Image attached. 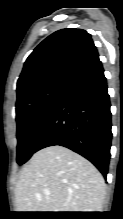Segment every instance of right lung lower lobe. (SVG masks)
Segmentation results:
<instances>
[{"instance_id": "1", "label": "right lung lower lobe", "mask_w": 123, "mask_h": 219, "mask_svg": "<svg viewBox=\"0 0 123 219\" xmlns=\"http://www.w3.org/2000/svg\"><path fill=\"white\" fill-rule=\"evenodd\" d=\"M111 112L100 60L74 75L55 105L36 151L60 145L91 161L106 178L111 147Z\"/></svg>"}]
</instances>
